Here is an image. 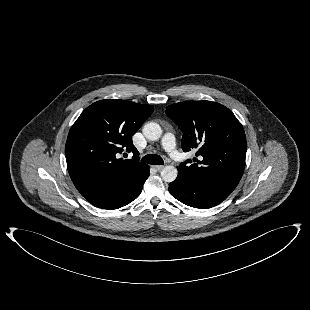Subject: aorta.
Masks as SVG:
<instances>
[{
	"instance_id": "obj_1",
	"label": "aorta",
	"mask_w": 310,
	"mask_h": 310,
	"mask_svg": "<svg viewBox=\"0 0 310 310\" xmlns=\"http://www.w3.org/2000/svg\"><path fill=\"white\" fill-rule=\"evenodd\" d=\"M142 132L144 136L150 141L160 139L162 135V128L158 123L148 122L144 125ZM178 175L177 168L172 165L165 166L161 171V177L165 182H173Z\"/></svg>"
}]
</instances>
